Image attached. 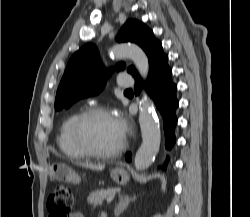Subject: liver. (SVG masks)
<instances>
[{
  "instance_id": "1",
  "label": "liver",
  "mask_w": 250,
  "mask_h": 217,
  "mask_svg": "<svg viewBox=\"0 0 250 217\" xmlns=\"http://www.w3.org/2000/svg\"><path fill=\"white\" fill-rule=\"evenodd\" d=\"M81 166L90 168L92 170H103L104 166L103 165H93V164H88V163H80Z\"/></svg>"
}]
</instances>
